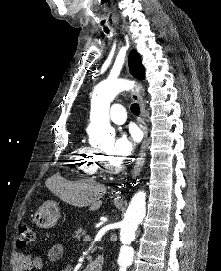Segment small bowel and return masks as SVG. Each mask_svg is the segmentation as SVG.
<instances>
[{
  "instance_id": "1",
  "label": "small bowel",
  "mask_w": 221,
  "mask_h": 271,
  "mask_svg": "<svg viewBox=\"0 0 221 271\" xmlns=\"http://www.w3.org/2000/svg\"><path fill=\"white\" fill-rule=\"evenodd\" d=\"M64 255V246L61 243L52 245L47 252V259L50 262L60 260ZM13 271H42L44 260L35 252L24 254L15 253L12 258ZM62 271H72L70 265L63 267Z\"/></svg>"
}]
</instances>
